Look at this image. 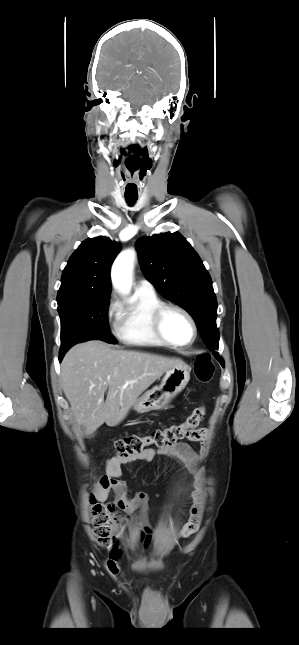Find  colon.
Wrapping results in <instances>:
<instances>
[{"instance_id":"colon-1","label":"colon","mask_w":299,"mask_h":645,"mask_svg":"<svg viewBox=\"0 0 299 645\" xmlns=\"http://www.w3.org/2000/svg\"><path fill=\"white\" fill-rule=\"evenodd\" d=\"M194 373L199 382L207 384L214 374V365L211 357L200 354L194 364ZM205 416V408L198 406L194 408L182 421L173 423L164 428L152 430L145 436L131 435L118 439L115 442L116 458L126 460L133 455L139 454L150 447L164 448L177 443L193 431ZM93 530L96 543L101 548L111 545V529L118 524L121 516L112 502H92Z\"/></svg>"}]
</instances>
